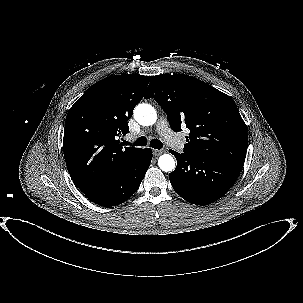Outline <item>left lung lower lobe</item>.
Wrapping results in <instances>:
<instances>
[{
    "instance_id": "left-lung-lower-lobe-1",
    "label": "left lung lower lobe",
    "mask_w": 303,
    "mask_h": 303,
    "mask_svg": "<svg viewBox=\"0 0 303 303\" xmlns=\"http://www.w3.org/2000/svg\"><path fill=\"white\" fill-rule=\"evenodd\" d=\"M177 167L169 174L173 189L186 201L208 205L225 195L238 178L243 161L193 156L171 151Z\"/></svg>"
}]
</instances>
